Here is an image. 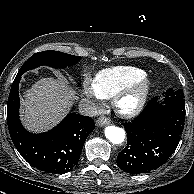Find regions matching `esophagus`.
<instances>
[{"label":"esophagus","instance_id":"1","mask_svg":"<svg viewBox=\"0 0 194 194\" xmlns=\"http://www.w3.org/2000/svg\"><path fill=\"white\" fill-rule=\"evenodd\" d=\"M110 124V119L106 118V117H100L97 119L96 121V125L99 127L105 126Z\"/></svg>","mask_w":194,"mask_h":194}]
</instances>
